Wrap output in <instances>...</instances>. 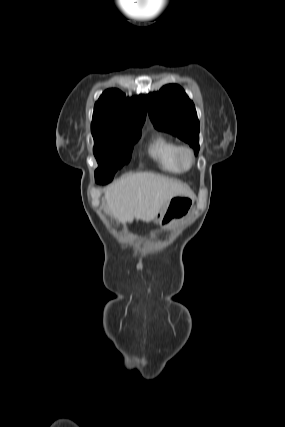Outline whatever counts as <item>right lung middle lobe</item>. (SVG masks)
I'll return each instance as SVG.
<instances>
[{
	"mask_svg": "<svg viewBox=\"0 0 285 427\" xmlns=\"http://www.w3.org/2000/svg\"><path fill=\"white\" fill-rule=\"evenodd\" d=\"M94 155L99 164L95 171L97 183H109L116 171L130 161L134 144L141 136V128L91 129Z\"/></svg>",
	"mask_w": 285,
	"mask_h": 427,
	"instance_id": "dd1d6c3e",
	"label": "right lung middle lobe"
}]
</instances>
